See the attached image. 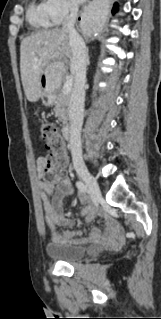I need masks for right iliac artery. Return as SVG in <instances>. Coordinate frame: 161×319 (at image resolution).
<instances>
[{
	"label": "right iliac artery",
	"mask_w": 161,
	"mask_h": 319,
	"mask_svg": "<svg viewBox=\"0 0 161 319\" xmlns=\"http://www.w3.org/2000/svg\"><path fill=\"white\" fill-rule=\"evenodd\" d=\"M76 186H77V188H78V190L80 192H82V193H86L87 192V186L83 182L77 181L76 182Z\"/></svg>",
	"instance_id": "82829eb1"
}]
</instances>
